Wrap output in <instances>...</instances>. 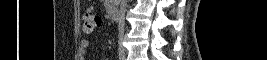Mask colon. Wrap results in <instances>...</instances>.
<instances>
[{"label": "colon", "instance_id": "5ec220e1", "mask_svg": "<svg viewBox=\"0 0 267 60\" xmlns=\"http://www.w3.org/2000/svg\"><path fill=\"white\" fill-rule=\"evenodd\" d=\"M101 15L92 9H87L83 13V30L87 33L94 31L101 25Z\"/></svg>", "mask_w": 267, "mask_h": 60}]
</instances>
